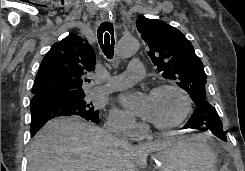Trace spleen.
Masks as SVG:
<instances>
[{
    "mask_svg": "<svg viewBox=\"0 0 245 171\" xmlns=\"http://www.w3.org/2000/svg\"><path fill=\"white\" fill-rule=\"evenodd\" d=\"M220 171H229V169L226 166H222Z\"/></svg>",
    "mask_w": 245,
    "mask_h": 171,
    "instance_id": "obj_1",
    "label": "spleen"
}]
</instances>
